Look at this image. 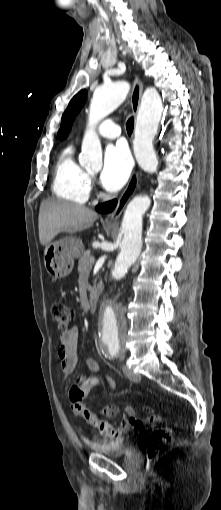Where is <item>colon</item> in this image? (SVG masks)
Returning <instances> with one entry per match:
<instances>
[{
  "instance_id": "5ec220e1",
  "label": "colon",
  "mask_w": 221,
  "mask_h": 510,
  "mask_svg": "<svg viewBox=\"0 0 221 510\" xmlns=\"http://www.w3.org/2000/svg\"><path fill=\"white\" fill-rule=\"evenodd\" d=\"M51 315L56 323L57 329L64 333L71 328L74 320V311L63 303L55 302L51 305ZM97 378H92L90 384L95 386L98 384ZM80 395L85 397V391H81ZM116 414V410L112 407L106 408L102 411L105 417H111ZM83 416L88 423L97 427L99 430L105 428V421L99 419L95 413L87 408L83 410ZM159 420V416L150 413L145 419L131 417L129 423L133 426H140L143 423H155ZM172 440V430L169 427H161L153 430L146 440V453L149 459L156 457L162 452Z\"/></svg>"
}]
</instances>
